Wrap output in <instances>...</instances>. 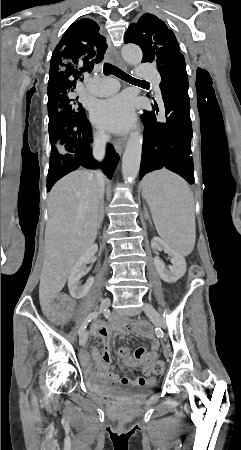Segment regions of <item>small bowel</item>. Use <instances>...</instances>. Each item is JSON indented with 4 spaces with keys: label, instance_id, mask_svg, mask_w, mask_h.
Here are the masks:
<instances>
[{
    "label": "small bowel",
    "instance_id": "small-bowel-1",
    "mask_svg": "<svg viewBox=\"0 0 241 450\" xmlns=\"http://www.w3.org/2000/svg\"><path fill=\"white\" fill-rule=\"evenodd\" d=\"M43 306L45 310H40L38 317L53 319L58 316L61 309L68 308L69 303L66 300H47ZM60 315L65 319L70 316V313L64 310ZM130 332L141 335L150 344L149 348L144 346L136 348L133 355L130 354L127 347H119L116 350L117 356L124 365L141 368L142 376L136 378L119 376L115 373L111 362V338L115 334L125 335ZM91 334L100 339L103 345L101 354L98 350L92 352L95 363L88 355L84 356L87 371L91 374L93 381L108 386H133L144 389L150 388L156 383V379L152 376V363L158 358L160 343L148 324L136 320L118 322L113 326L96 323L91 327Z\"/></svg>",
    "mask_w": 241,
    "mask_h": 450
}]
</instances>
